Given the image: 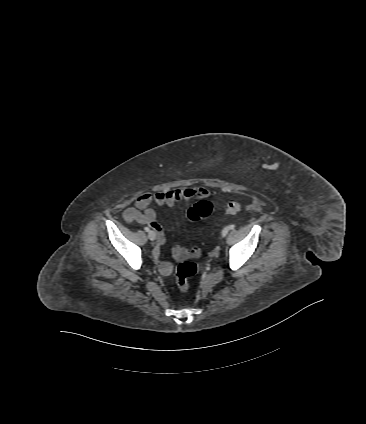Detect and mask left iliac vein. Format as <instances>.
I'll use <instances>...</instances> for the list:
<instances>
[{
    "label": "left iliac vein",
    "instance_id": "4c4485c4",
    "mask_svg": "<svg viewBox=\"0 0 366 424\" xmlns=\"http://www.w3.org/2000/svg\"><path fill=\"white\" fill-rule=\"evenodd\" d=\"M228 232H229V227H225V228L222 230L221 234H222V236H223V237H225V236L228 234Z\"/></svg>",
    "mask_w": 366,
    "mask_h": 424
}]
</instances>
